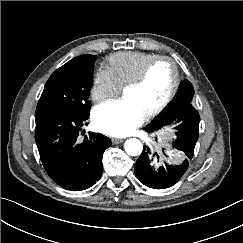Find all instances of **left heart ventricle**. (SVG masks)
<instances>
[{"instance_id": "obj_1", "label": "left heart ventricle", "mask_w": 243, "mask_h": 243, "mask_svg": "<svg viewBox=\"0 0 243 243\" xmlns=\"http://www.w3.org/2000/svg\"><path fill=\"white\" fill-rule=\"evenodd\" d=\"M174 81V70L167 61L155 64L145 82L136 89L124 91V99L132 101L146 116L168 96Z\"/></svg>"}]
</instances>
